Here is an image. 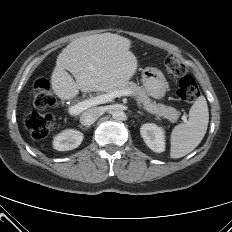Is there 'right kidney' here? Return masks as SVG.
Segmentation results:
<instances>
[{
  "instance_id": "right-kidney-1",
  "label": "right kidney",
  "mask_w": 232,
  "mask_h": 232,
  "mask_svg": "<svg viewBox=\"0 0 232 232\" xmlns=\"http://www.w3.org/2000/svg\"><path fill=\"white\" fill-rule=\"evenodd\" d=\"M83 140V134L77 130L69 129L59 133L53 141L54 149L69 151L77 148Z\"/></svg>"
}]
</instances>
